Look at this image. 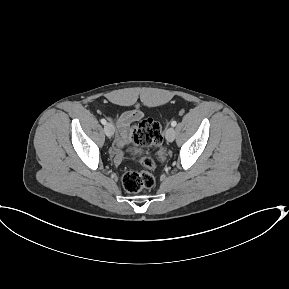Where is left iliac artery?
<instances>
[{"instance_id": "left-iliac-artery-1", "label": "left iliac artery", "mask_w": 289, "mask_h": 289, "mask_svg": "<svg viewBox=\"0 0 289 289\" xmlns=\"http://www.w3.org/2000/svg\"><path fill=\"white\" fill-rule=\"evenodd\" d=\"M176 124H177V122H176V121H172V122H171V126H172V127H175V126H176Z\"/></svg>"}]
</instances>
